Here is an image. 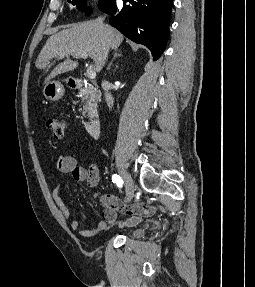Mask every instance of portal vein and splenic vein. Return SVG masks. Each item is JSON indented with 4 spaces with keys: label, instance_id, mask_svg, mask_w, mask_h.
<instances>
[{
    "label": "portal vein and splenic vein",
    "instance_id": "18ae733b",
    "mask_svg": "<svg viewBox=\"0 0 255 287\" xmlns=\"http://www.w3.org/2000/svg\"><path fill=\"white\" fill-rule=\"evenodd\" d=\"M76 56H78V58H83V60H87L88 52H79V54H76ZM87 74H88V78H90V80H95L96 72H95L93 66H89V68L87 70Z\"/></svg>",
    "mask_w": 255,
    "mask_h": 287
}]
</instances>
